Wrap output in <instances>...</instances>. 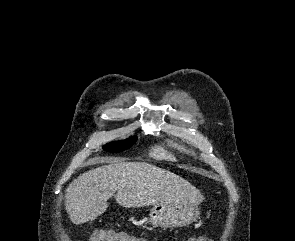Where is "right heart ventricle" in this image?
I'll return each instance as SVG.
<instances>
[{
  "mask_svg": "<svg viewBox=\"0 0 295 241\" xmlns=\"http://www.w3.org/2000/svg\"><path fill=\"white\" fill-rule=\"evenodd\" d=\"M154 153H155L156 156H159V157H162V158L173 159V157L171 155H168L166 152H164L161 149H156Z\"/></svg>",
  "mask_w": 295,
  "mask_h": 241,
  "instance_id": "right-heart-ventricle-1",
  "label": "right heart ventricle"
}]
</instances>
